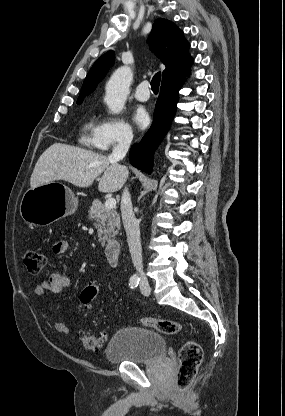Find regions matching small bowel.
<instances>
[{"label": "small bowel", "mask_w": 285, "mask_h": 416, "mask_svg": "<svg viewBox=\"0 0 285 416\" xmlns=\"http://www.w3.org/2000/svg\"><path fill=\"white\" fill-rule=\"evenodd\" d=\"M69 249V242L61 239L54 242L52 251L55 254H63ZM71 278L68 274L63 272L51 273L48 277L42 279L34 288V292L38 296H45L46 294H59L69 288ZM54 329L61 334H68L69 328L61 321L54 322Z\"/></svg>", "instance_id": "c3829d8e"}]
</instances>
